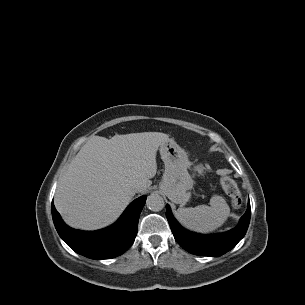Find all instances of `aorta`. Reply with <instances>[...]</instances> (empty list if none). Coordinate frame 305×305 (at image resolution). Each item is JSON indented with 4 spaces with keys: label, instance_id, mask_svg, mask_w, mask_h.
<instances>
[{
    "label": "aorta",
    "instance_id": "1",
    "mask_svg": "<svg viewBox=\"0 0 305 305\" xmlns=\"http://www.w3.org/2000/svg\"><path fill=\"white\" fill-rule=\"evenodd\" d=\"M147 208L154 212L161 211L164 206V199L158 194H151L147 197L146 200Z\"/></svg>",
    "mask_w": 305,
    "mask_h": 305
}]
</instances>
